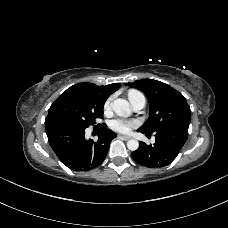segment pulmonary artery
<instances>
[{"label":"pulmonary artery","instance_id":"pulmonary-artery-1","mask_svg":"<svg viewBox=\"0 0 228 228\" xmlns=\"http://www.w3.org/2000/svg\"><path fill=\"white\" fill-rule=\"evenodd\" d=\"M128 98L135 111H140L146 105V97L141 92L130 93Z\"/></svg>","mask_w":228,"mask_h":228}]
</instances>
